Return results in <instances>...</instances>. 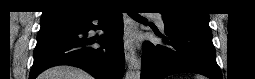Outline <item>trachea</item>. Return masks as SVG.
<instances>
[{"label":"trachea","instance_id":"trachea-1","mask_svg":"<svg viewBox=\"0 0 255 79\" xmlns=\"http://www.w3.org/2000/svg\"><path fill=\"white\" fill-rule=\"evenodd\" d=\"M131 17L134 18L135 20H145L144 18H142L141 16L137 14H131Z\"/></svg>","mask_w":255,"mask_h":79}]
</instances>
